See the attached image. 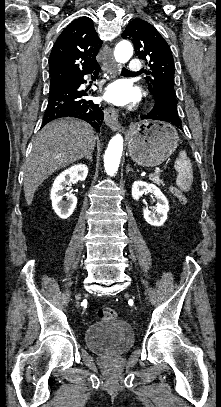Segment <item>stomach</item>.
Listing matches in <instances>:
<instances>
[{
	"label": "stomach",
	"instance_id": "obj_1",
	"mask_svg": "<svg viewBox=\"0 0 221 407\" xmlns=\"http://www.w3.org/2000/svg\"><path fill=\"white\" fill-rule=\"evenodd\" d=\"M176 129L165 122L143 121L129 131L128 151L131 159L143 167L162 164L178 147Z\"/></svg>",
	"mask_w": 221,
	"mask_h": 407
}]
</instances>
